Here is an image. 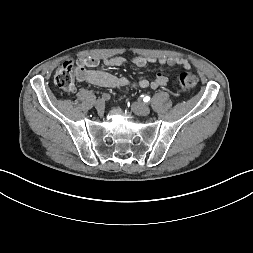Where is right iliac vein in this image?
I'll return each mask as SVG.
<instances>
[{
    "mask_svg": "<svg viewBox=\"0 0 253 253\" xmlns=\"http://www.w3.org/2000/svg\"><path fill=\"white\" fill-rule=\"evenodd\" d=\"M95 108L97 109L98 112H103L105 109V102L102 99H98L95 102Z\"/></svg>",
    "mask_w": 253,
    "mask_h": 253,
    "instance_id": "1",
    "label": "right iliac vein"
}]
</instances>
